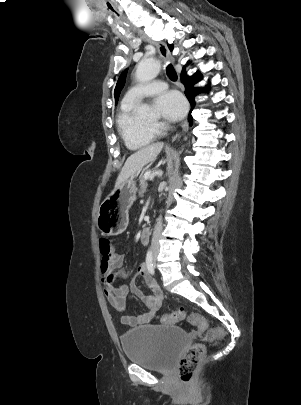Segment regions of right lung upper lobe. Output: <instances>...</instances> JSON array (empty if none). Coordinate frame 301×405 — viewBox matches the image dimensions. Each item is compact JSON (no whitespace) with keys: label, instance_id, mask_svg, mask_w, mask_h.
Here are the masks:
<instances>
[{"label":"right lung upper lobe","instance_id":"1","mask_svg":"<svg viewBox=\"0 0 301 405\" xmlns=\"http://www.w3.org/2000/svg\"><path fill=\"white\" fill-rule=\"evenodd\" d=\"M169 49L172 51L173 49V45L172 44H168Z\"/></svg>","mask_w":301,"mask_h":405}]
</instances>
